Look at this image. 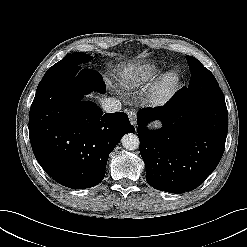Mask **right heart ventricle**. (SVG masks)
I'll return each mask as SVG.
<instances>
[{
  "label": "right heart ventricle",
  "instance_id": "obj_1",
  "mask_svg": "<svg viewBox=\"0 0 247 247\" xmlns=\"http://www.w3.org/2000/svg\"><path fill=\"white\" fill-rule=\"evenodd\" d=\"M160 73V68L154 64H137L123 73L122 84L127 89L142 88L155 80Z\"/></svg>",
  "mask_w": 247,
  "mask_h": 247
}]
</instances>
